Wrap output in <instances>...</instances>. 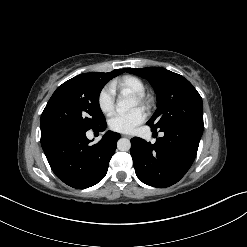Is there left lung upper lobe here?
I'll return each instance as SVG.
<instances>
[{
  "instance_id": "5c2ea615",
  "label": "left lung upper lobe",
  "mask_w": 247,
  "mask_h": 247,
  "mask_svg": "<svg viewBox=\"0 0 247 247\" xmlns=\"http://www.w3.org/2000/svg\"><path fill=\"white\" fill-rule=\"evenodd\" d=\"M124 71L148 79L156 92L157 110L147 122L149 126L157 130L186 123L203 130L202 98L183 76L160 67Z\"/></svg>"
}]
</instances>
